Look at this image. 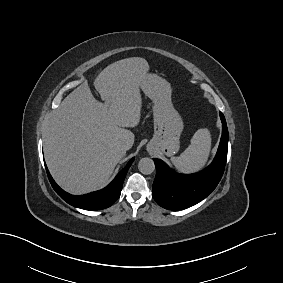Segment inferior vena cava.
I'll use <instances>...</instances> for the list:
<instances>
[{"label":"inferior vena cava","mask_w":283,"mask_h":283,"mask_svg":"<svg viewBox=\"0 0 283 283\" xmlns=\"http://www.w3.org/2000/svg\"><path fill=\"white\" fill-rule=\"evenodd\" d=\"M122 146H123V148H124V149H126V150H128V149H129V144H127V143H123V145H122Z\"/></svg>","instance_id":"inferior-vena-cava-1"}]
</instances>
